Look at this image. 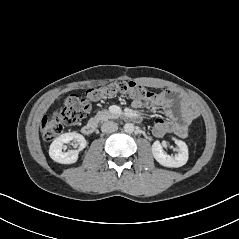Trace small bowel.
<instances>
[{
  "instance_id": "1",
  "label": "small bowel",
  "mask_w": 239,
  "mask_h": 239,
  "mask_svg": "<svg viewBox=\"0 0 239 239\" xmlns=\"http://www.w3.org/2000/svg\"><path fill=\"white\" fill-rule=\"evenodd\" d=\"M133 107H153L162 109L169 118L168 133L184 138L188 135V127L197 117L196 108L180 94L172 90H165L150 102L140 99L133 100Z\"/></svg>"
}]
</instances>
